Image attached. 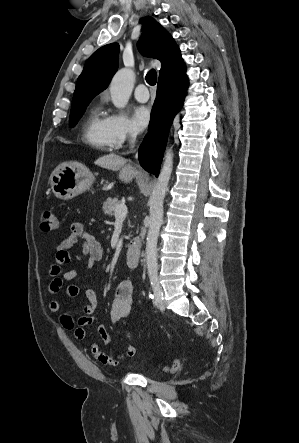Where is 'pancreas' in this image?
<instances>
[{"label": "pancreas", "mask_w": 299, "mask_h": 443, "mask_svg": "<svg viewBox=\"0 0 299 443\" xmlns=\"http://www.w3.org/2000/svg\"><path fill=\"white\" fill-rule=\"evenodd\" d=\"M119 204H120V201L118 200V198H113V199L108 198L103 204L104 214L109 215V216L114 215L115 208Z\"/></svg>", "instance_id": "1"}]
</instances>
